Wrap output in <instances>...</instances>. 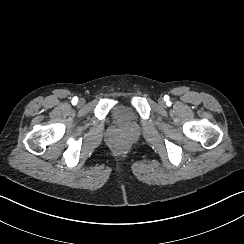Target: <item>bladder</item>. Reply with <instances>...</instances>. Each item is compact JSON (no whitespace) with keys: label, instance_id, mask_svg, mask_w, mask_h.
Returning a JSON list of instances; mask_svg holds the SVG:
<instances>
[{"label":"bladder","instance_id":"1","mask_svg":"<svg viewBox=\"0 0 244 244\" xmlns=\"http://www.w3.org/2000/svg\"><path fill=\"white\" fill-rule=\"evenodd\" d=\"M133 115L132 109L127 105H117L113 111V117L121 124L128 122Z\"/></svg>","mask_w":244,"mask_h":244}]
</instances>
